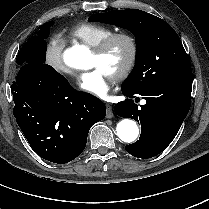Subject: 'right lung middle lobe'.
Here are the masks:
<instances>
[{
	"instance_id": "right-lung-middle-lobe-1",
	"label": "right lung middle lobe",
	"mask_w": 209,
	"mask_h": 209,
	"mask_svg": "<svg viewBox=\"0 0 209 209\" xmlns=\"http://www.w3.org/2000/svg\"><path fill=\"white\" fill-rule=\"evenodd\" d=\"M53 24L41 28L37 36L31 37L21 48L16 58V63L23 65L24 63L42 64L45 63L47 43L45 39L49 35V27Z\"/></svg>"
}]
</instances>
